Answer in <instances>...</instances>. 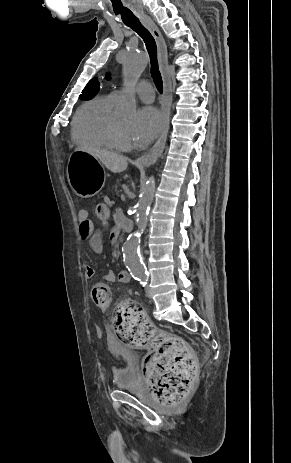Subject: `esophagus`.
Returning <instances> with one entry per match:
<instances>
[{
    "instance_id": "34e87169",
    "label": "esophagus",
    "mask_w": 291,
    "mask_h": 463,
    "mask_svg": "<svg viewBox=\"0 0 291 463\" xmlns=\"http://www.w3.org/2000/svg\"><path fill=\"white\" fill-rule=\"evenodd\" d=\"M143 24L151 31L153 37L155 38L159 51V63L160 69L162 70L163 80H164V92H163V102H162V117H163V129L161 134L153 145V147L144 155L139 157L136 160V164L140 166H150L155 163L157 159L161 156L165 142L167 139V134L169 130V111H170V92H171V83H170V74L168 72V59L166 52V44L164 38L150 17H144L142 19Z\"/></svg>"
}]
</instances>
